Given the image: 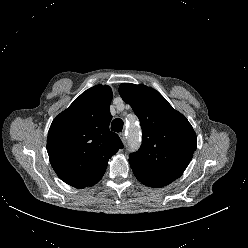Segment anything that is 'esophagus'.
Here are the masks:
<instances>
[{
  "instance_id": "obj_1",
  "label": "esophagus",
  "mask_w": 248,
  "mask_h": 248,
  "mask_svg": "<svg viewBox=\"0 0 248 248\" xmlns=\"http://www.w3.org/2000/svg\"><path fill=\"white\" fill-rule=\"evenodd\" d=\"M119 137H120L121 141L125 144L126 143V135H125V133L121 132L119 134Z\"/></svg>"
}]
</instances>
